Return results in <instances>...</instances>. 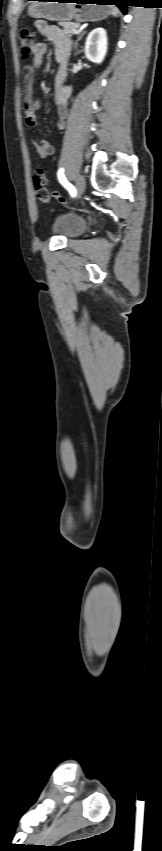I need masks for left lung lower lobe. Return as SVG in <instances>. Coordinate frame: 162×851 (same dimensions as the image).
<instances>
[{
	"mask_svg": "<svg viewBox=\"0 0 162 851\" xmlns=\"http://www.w3.org/2000/svg\"><path fill=\"white\" fill-rule=\"evenodd\" d=\"M58 1H65V0H58ZM85 1H90V2H95V3L113 4L115 6H118L123 13H126L125 6H128L127 0H85Z\"/></svg>",
	"mask_w": 162,
	"mask_h": 851,
	"instance_id": "left-lung-lower-lobe-1",
	"label": "left lung lower lobe"
}]
</instances>
